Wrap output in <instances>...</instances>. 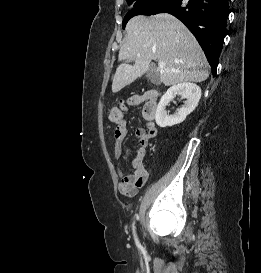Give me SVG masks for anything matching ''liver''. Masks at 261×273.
Instances as JSON below:
<instances>
[{
  "mask_svg": "<svg viewBox=\"0 0 261 273\" xmlns=\"http://www.w3.org/2000/svg\"><path fill=\"white\" fill-rule=\"evenodd\" d=\"M126 32L127 40L119 51V61L132 60L135 63H122L117 67L112 83L113 93L146 73L152 60L164 62V69L157 71L160 82L165 86L202 82L208 78V62L200 45L174 16L168 13L151 17L138 15L128 22Z\"/></svg>",
  "mask_w": 261,
  "mask_h": 273,
  "instance_id": "liver-1",
  "label": "liver"
}]
</instances>
